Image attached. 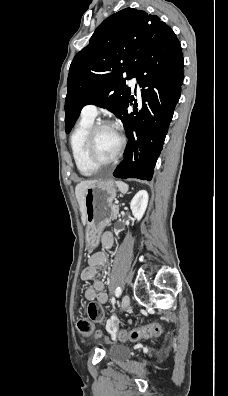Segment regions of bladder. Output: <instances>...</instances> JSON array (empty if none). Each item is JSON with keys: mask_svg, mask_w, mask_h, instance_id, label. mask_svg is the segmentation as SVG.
Listing matches in <instances>:
<instances>
[{"mask_svg": "<svg viewBox=\"0 0 228 396\" xmlns=\"http://www.w3.org/2000/svg\"><path fill=\"white\" fill-rule=\"evenodd\" d=\"M109 355L113 359H125L131 355V350L127 346L115 344L110 347Z\"/></svg>", "mask_w": 228, "mask_h": 396, "instance_id": "31cf9c89", "label": "bladder"}]
</instances>
